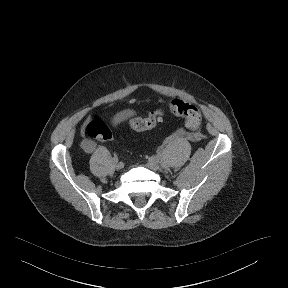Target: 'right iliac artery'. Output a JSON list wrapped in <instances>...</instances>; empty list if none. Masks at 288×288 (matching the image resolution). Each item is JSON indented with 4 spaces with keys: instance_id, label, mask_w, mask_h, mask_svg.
<instances>
[{
    "instance_id": "obj_1",
    "label": "right iliac artery",
    "mask_w": 288,
    "mask_h": 288,
    "mask_svg": "<svg viewBox=\"0 0 288 288\" xmlns=\"http://www.w3.org/2000/svg\"><path fill=\"white\" fill-rule=\"evenodd\" d=\"M113 160H114V161H118V156H117V155H114V156H113Z\"/></svg>"
}]
</instances>
